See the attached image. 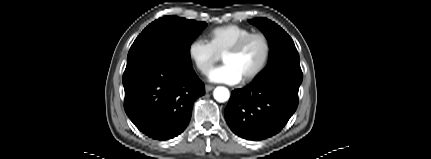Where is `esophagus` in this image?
I'll return each instance as SVG.
<instances>
[{
  "instance_id": "1",
  "label": "esophagus",
  "mask_w": 431,
  "mask_h": 159,
  "mask_svg": "<svg viewBox=\"0 0 431 159\" xmlns=\"http://www.w3.org/2000/svg\"><path fill=\"white\" fill-rule=\"evenodd\" d=\"M214 89V86H212V85H206L205 86V90H206V92H209V91H211V90H213Z\"/></svg>"
}]
</instances>
